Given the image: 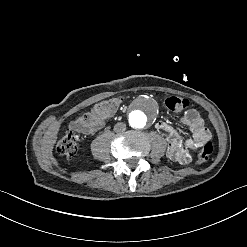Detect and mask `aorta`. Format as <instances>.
Returning <instances> with one entry per match:
<instances>
[{
    "instance_id": "1",
    "label": "aorta",
    "mask_w": 247,
    "mask_h": 247,
    "mask_svg": "<svg viewBox=\"0 0 247 247\" xmlns=\"http://www.w3.org/2000/svg\"><path fill=\"white\" fill-rule=\"evenodd\" d=\"M130 121L131 125L136 128H143L146 125V117L140 111L131 115Z\"/></svg>"
}]
</instances>
